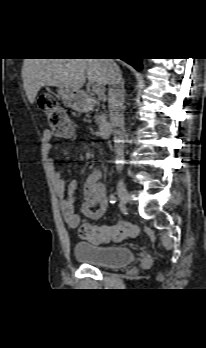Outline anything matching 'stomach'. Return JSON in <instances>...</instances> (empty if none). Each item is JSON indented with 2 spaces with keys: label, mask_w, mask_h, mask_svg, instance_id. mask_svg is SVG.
<instances>
[{
  "label": "stomach",
  "mask_w": 206,
  "mask_h": 348,
  "mask_svg": "<svg viewBox=\"0 0 206 348\" xmlns=\"http://www.w3.org/2000/svg\"><path fill=\"white\" fill-rule=\"evenodd\" d=\"M58 93L63 102L71 109L82 112L87 107L85 94L80 90H72L67 87H59Z\"/></svg>",
  "instance_id": "stomach-1"
}]
</instances>
